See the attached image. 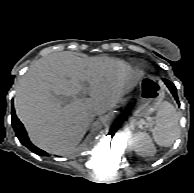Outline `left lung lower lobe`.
<instances>
[{
    "label": "left lung lower lobe",
    "mask_w": 194,
    "mask_h": 193,
    "mask_svg": "<svg viewBox=\"0 0 194 193\" xmlns=\"http://www.w3.org/2000/svg\"><path fill=\"white\" fill-rule=\"evenodd\" d=\"M164 82H165V84L167 85V87L170 89V91H171V93L173 94L175 100H176L177 102H179V101H178V97H177L176 87L174 86V84L171 83L170 81L166 80V79H164ZM119 124H120V121L116 124V126H118Z\"/></svg>",
    "instance_id": "obj_1"
}]
</instances>
